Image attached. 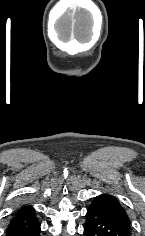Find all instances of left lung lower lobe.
Instances as JSON below:
<instances>
[{"instance_id": "0a47b994", "label": "left lung lower lobe", "mask_w": 145, "mask_h": 236, "mask_svg": "<svg viewBox=\"0 0 145 236\" xmlns=\"http://www.w3.org/2000/svg\"><path fill=\"white\" fill-rule=\"evenodd\" d=\"M84 236H130L131 232L124 225L109 215L89 208L86 214Z\"/></svg>"}]
</instances>
